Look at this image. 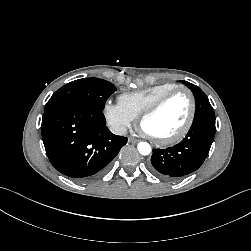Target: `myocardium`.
<instances>
[{
	"label": "myocardium",
	"instance_id": "f54148a6",
	"mask_svg": "<svg viewBox=\"0 0 251 251\" xmlns=\"http://www.w3.org/2000/svg\"><path fill=\"white\" fill-rule=\"evenodd\" d=\"M180 92L185 93L190 100L189 116L184 126L177 133H175L174 135L170 137L156 138L148 134L149 138L159 145L175 144L181 141L188 134V132L190 131L193 125L195 115H196V100H195L194 94L191 92V90H189L186 87H176L166 92L161 97H159L153 104H151L147 109H145L138 117V124L142 128V124L147 118L157 113L171 97H173L175 94L180 93Z\"/></svg>",
	"mask_w": 251,
	"mask_h": 251
}]
</instances>
